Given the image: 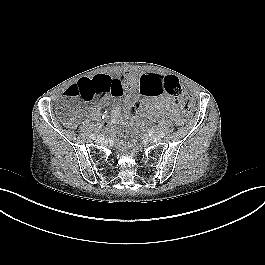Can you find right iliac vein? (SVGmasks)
Instances as JSON below:
<instances>
[{"instance_id":"obj_1","label":"right iliac vein","mask_w":265,"mask_h":265,"mask_svg":"<svg viewBox=\"0 0 265 265\" xmlns=\"http://www.w3.org/2000/svg\"><path fill=\"white\" fill-rule=\"evenodd\" d=\"M96 141H97V142H101V141H103V137H102V136H97Z\"/></svg>"}]
</instances>
